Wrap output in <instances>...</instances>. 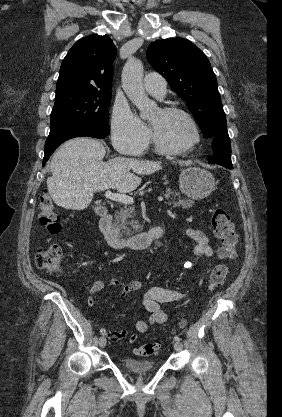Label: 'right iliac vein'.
<instances>
[{
  "label": "right iliac vein",
  "mask_w": 282,
  "mask_h": 417,
  "mask_svg": "<svg viewBox=\"0 0 282 417\" xmlns=\"http://www.w3.org/2000/svg\"><path fill=\"white\" fill-rule=\"evenodd\" d=\"M105 345H106V337L105 336H101L99 338V346L103 348V347H105Z\"/></svg>",
  "instance_id": "obj_1"
}]
</instances>
